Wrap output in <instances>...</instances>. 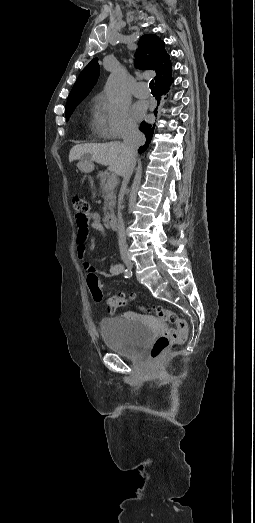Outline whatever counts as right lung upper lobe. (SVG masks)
<instances>
[{"label": "right lung upper lobe", "instance_id": "1", "mask_svg": "<svg viewBox=\"0 0 255 523\" xmlns=\"http://www.w3.org/2000/svg\"><path fill=\"white\" fill-rule=\"evenodd\" d=\"M138 51L136 52L137 66L146 70H153L156 72L155 86L157 90L156 99L160 101V95L168 91L169 85L173 78L172 65L170 62V55L164 48V42L156 35H143L138 42ZM99 64L97 59L92 60L80 73L75 82L67 102H81L91 91L99 77ZM157 116V109L154 110ZM155 124H148L142 122L140 131L144 133L146 138L145 145L139 148V152L147 149L154 132Z\"/></svg>", "mask_w": 255, "mask_h": 523}]
</instances>
